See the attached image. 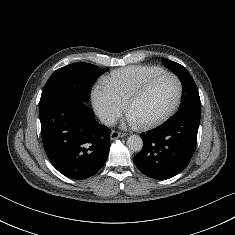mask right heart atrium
Instances as JSON below:
<instances>
[{
	"instance_id": "1",
	"label": "right heart atrium",
	"mask_w": 235,
	"mask_h": 235,
	"mask_svg": "<svg viewBox=\"0 0 235 235\" xmlns=\"http://www.w3.org/2000/svg\"><path fill=\"white\" fill-rule=\"evenodd\" d=\"M91 100L95 113L105 124L113 123L125 106L106 84H98L93 87Z\"/></svg>"
}]
</instances>
